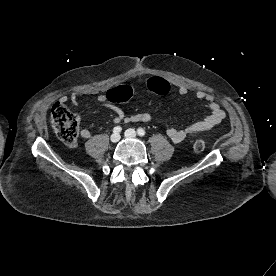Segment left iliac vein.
Wrapping results in <instances>:
<instances>
[{"label":"left iliac vein","mask_w":276,"mask_h":276,"mask_svg":"<svg viewBox=\"0 0 276 276\" xmlns=\"http://www.w3.org/2000/svg\"><path fill=\"white\" fill-rule=\"evenodd\" d=\"M136 135H137V133H136V131H135L134 129H127V130L125 131V136H126L127 138H135Z\"/></svg>","instance_id":"left-iliac-vein-1"}]
</instances>
